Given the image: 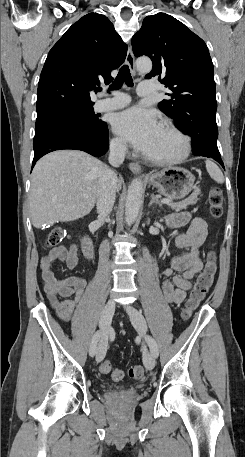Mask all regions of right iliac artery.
Segmentation results:
<instances>
[{
    "mask_svg": "<svg viewBox=\"0 0 245 457\" xmlns=\"http://www.w3.org/2000/svg\"><path fill=\"white\" fill-rule=\"evenodd\" d=\"M100 338H101V331H97L94 334V336L92 337L91 345L89 348V354L92 357L96 354V348H97V344H98Z\"/></svg>",
    "mask_w": 245,
    "mask_h": 457,
    "instance_id": "right-iliac-artery-1",
    "label": "right iliac artery"
}]
</instances>
